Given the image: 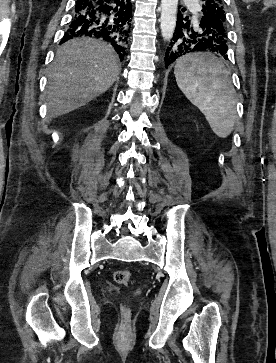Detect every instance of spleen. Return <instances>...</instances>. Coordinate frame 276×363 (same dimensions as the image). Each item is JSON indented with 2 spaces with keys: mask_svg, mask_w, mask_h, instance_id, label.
Returning a JSON list of instances; mask_svg holds the SVG:
<instances>
[{
  "mask_svg": "<svg viewBox=\"0 0 276 363\" xmlns=\"http://www.w3.org/2000/svg\"><path fill=\"white\" fill-rule=\"evenodd\" d=\"M174 75L187 99L205 116L212 131L228 137L236 119V99L223 61L211 53H195L177 60Z\"/></svg>",
  "mask_w": 276,
  "mask_h": 363,
  "instance_id": "obj_1",
  "label": "spleen"
}]
</instances>
